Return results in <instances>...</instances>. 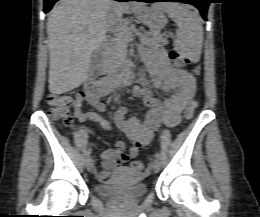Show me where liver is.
I'll return each mask as SVG.
<instances>
[{
	"label": "liver",
	"instance_id": "1",
	"mask_svg": "<svg viewBox=\"0 0 260 217\" xmlns=\"http://www.w3.org/2000/svg\"><path fill=\"white\" fill-rule=\"evenodd\" d=\"M122 20L127 4H117ZM111 0H60L48 14L49 90L63 94L87 78L91 55L105 40Z\"/></svg>",
	"mask_w": 260,
	"mask_h": 217
}]
</instances>
